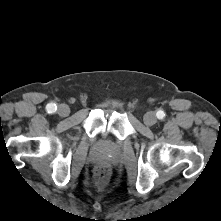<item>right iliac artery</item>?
<instances>
[{"label":"right iliac artery","instance_id":"obj_1","mask_svg":"<svg viewBox=\"0 0 221 221\" xmlns=\"http://www.w3.org/2000/svg\"><path fill=\"white\" fill-rule=\"evenodd\" d=\"M46 110H47V112L48 113H54V112H56V110H57V106H56V104H54V103H49L47 106H46Z\"/></svg>","mask_w":221,"mask_h":221}]
</instances>
